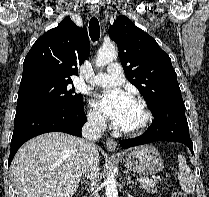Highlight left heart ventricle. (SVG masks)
<instances>
[{
    "mask_svg": "<svg viewBox=\"0 0 209 197\" xmlns=\"http://www.w3.org/2000/svg\"><path fill=\"white\" fill-rule=\"evenodd\" d=\"M143 120V113L141 108L139 107L138 104H136V108L132 114V117L129 121V123L123 128V129H131L136 126H138Z\"/></svg>",
    "mask_w": 209,
    "mask_h": 197,
    "instance_id": "b2bd125f",
    "label": "left heart ventricle"
}]
</instances>
